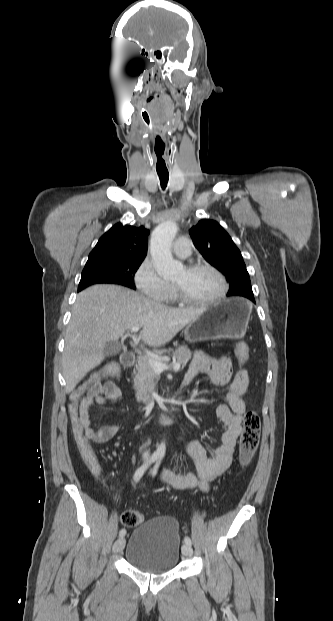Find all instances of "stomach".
Returning <instances> with one entry per match:
<instances>
[{
	"mask_svg": "<svg viewBox=\"0 0 333 621\" xmlns=\"http://www.w3.org/2000/svg\"><path fill=\"white\" fill-rule=\"evenodd\" d=\"M251 309L250 304L239 298L206 306L200 316L185 328V339L197 342L238 337L248 324Z\"/></svg>",
	"mask_w": 333,
	"mask_h": 621,
	"instance_id": "1",
	"label": "stomach"
}]
</instances>
